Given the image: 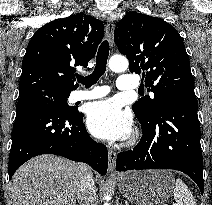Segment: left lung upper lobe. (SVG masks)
Returning <instances> with one entry per match:
<instances>
[{
  "mask_svg": "<svg viewBox=\"0 0 212 205\" xmlns=\"http://www.w3.org/2000/svg\"><path fill=\"white\" fill-rule=\"evenodd\" d=\"M114 40L140 74L148 91L132 109L141 123L150 122L170 102L196 98L188 54L178 31L162 19L128 12L116 26Z\"/></svg>",
  "mask_w": 212,
  "mask_h": 205,
  "instance_id": "obj_1",
  "label": "left lung upper lobe"
}]
</instances>
